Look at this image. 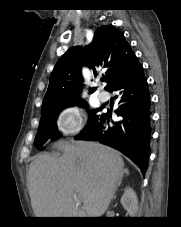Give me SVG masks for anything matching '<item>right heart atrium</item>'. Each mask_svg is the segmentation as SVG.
<instances>
[{"label": "right heart atrium", "mask_w": 181, "mask_h": 227, "mask_svg": "<svg viewBox=\"0 0 181 227\" xmlns=\"http://www.w3.org/2000/svg\"><path fill=\"white\" fill-rule=\"evenodd\" d=\"M56 124L62 135H75L83 128V112L76 105H69L61 110L57 117Z\"/></svg>", "instance_id": "1"}]
</instances>
